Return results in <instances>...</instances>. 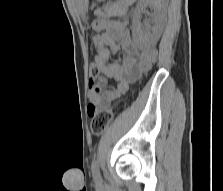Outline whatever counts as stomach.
Instances as JSON below:
<instances>
[{
    "label": "stomach",
    "mask_w": 223,
    "mask_h": 191,
    "mask_svg": "<svg viewBox=\"0 0 223 191\" xmlns=\"http://www.w3.org/2000/svg\"><path fill=\"white\" fill-rule=\"evenodd\" d=\"M78 11L81 15H85L88 10V0H75Z\"/></svg>",
    "instance_id": "obj_1"
}]
</instances>
